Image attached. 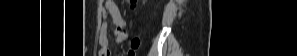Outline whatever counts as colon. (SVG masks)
Listing matches in <instances>:
<instances>
[{
    "mask_svg": "<svg viewBox=\"0 0 297 56\" xmlns=\"http://www.w3.org/2000/svg\"><path fill=\"white\" fill-rule=\"evenodd\" d=\"M130 4L132 6L135 5V1H130ZM139 45H140V41L138 38H133L130 42V48L129 50L127 51V53L125 54L126 56H136V50L139 48Z\"/></svg>",
    "mask_w": 297,
    "mask_h": 56,
    "instance_id": "colon-1",
    "label": "colon"
}]
</instances>
